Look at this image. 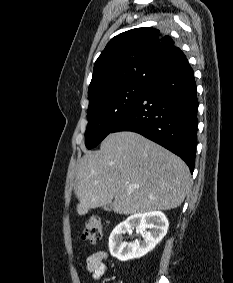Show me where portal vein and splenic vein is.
Returning <instances> with one entry per match:
<instances>
[{
    "instance_id": "portal-vein-and-splenic-vein-1",
    "label": "portal vein and splenic vein",
    "mask_w": 233,
    "mask_h": 283,
    "mask_svg": "<svg viewBox=\"0 0 233 283\" xmlns=\"http://www.w3.org/2000/svg\"><path fill=\"white\" fill-rule=\"evenodd\" d=\"M133 187L138 188L139 186L129 184V188H133Z\"/></svg>"
}]
</instances>
